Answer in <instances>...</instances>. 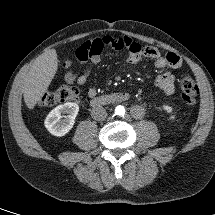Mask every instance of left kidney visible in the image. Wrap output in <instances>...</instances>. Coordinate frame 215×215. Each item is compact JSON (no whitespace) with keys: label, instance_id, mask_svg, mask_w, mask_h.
Here are the masks:
<instances>
[{"label":"left kidney","instance_id":"1","mask_svg":"<svg viewBox=\"0 0 215 215\" xmlns=\"http://www.w3.org/2000/svg\"><path fill=\"white\" fill-rule=\"evenodd\" d=\"M163 109L167 112V113H169V114H171L170 115V120H175V115H172V112H173V108L171 107V106H169V105H164L163 106Z\"/></svg>","mask_w":215,"mask_h":215}]
</instances>
